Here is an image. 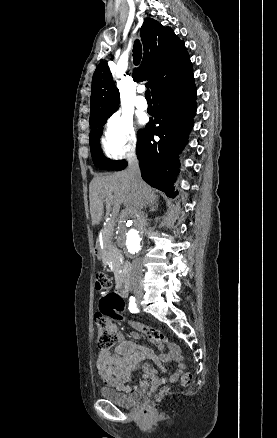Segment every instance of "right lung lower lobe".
<instances>
[{"mask_svg": "<svg viewBox=\"0 0 277 438\" xmlns=\"http://www.w3.org/2000/svg\"><path fill=\"white\" fill-rule=\"evenodd\" d=\"M156 110L155 123H148L151 133L142 130L138 134L137 156L142 178L169 197L173 193L174 173L178 170L177 155L186 145L188 133L193 127L196 114V87L192 68L182 76L163 84L153 95ZM153 134L160 137L155 141ZM127 166L123 161L114 170Z\"/></svg>", "mask_w": 277, "mask_h": 438, "instance_id": "right-lung-lower-lobe-1", "label": "right lung lower lobe"}]
</instances>
